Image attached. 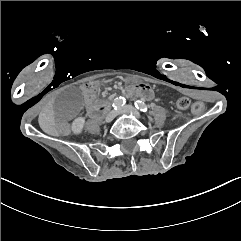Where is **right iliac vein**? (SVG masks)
<instances>
[{"label":"right iliac vein","instance_id":"obj_1","mask_svg":"<svg viewBox=\"0 0 241 241\" xmlns=\"http://www.w3.org/2000/svg\"><path fill=\"white\" fill-rule=\"evenodd\" d=\"M116 114H117L116 111H110V112L105 116V122H106V123L111 122V121L115 118Z\"/></svg>","mask_w":241,"mask_h":241}]
</instances>
